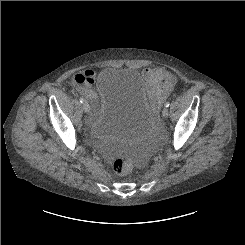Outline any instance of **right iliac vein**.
Masks as SVG:
<instances>
[{"mask_svg":"<svg viewBox=\"0 0 245 245\" xmlns=\"http://www.w3.org/2000/svg\"><path fill=\"white\" fill-rule=\"evenodd\" d=\"M83 109L86 113H89L90 105L87 102L83 103Z\"/></svg>","mask_w":245,"mask_h":245,"instance_id":"right-iliac-vein-1","label":"right iliac vein"}]
</instances>
